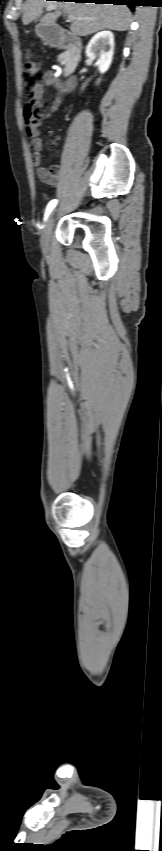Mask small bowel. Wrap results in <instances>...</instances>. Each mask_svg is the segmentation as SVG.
Listing matches in <instances>:
<instances>
[{
	"label": "small bowel",
	"mask_w": 162,
	"mask_h": 851,
	"mask_svg": "<svg viewBox=\"0 0 162 851\" xmlns=\"http://www.w3.org/2000/svg\"><path fill=\"white\" fill-rule=\"evenodd\" d=\"M76 77V74L72 72L62 83V79L59 76L53 72H47L45 75V84L40 83L32 92L33 109L27 108L25 110V129L28 137L31 139V148L33 149L31 162L36 168L38 178L49 185H55L59 182L61 167L59 165H52L50 168L42 166V141L39 137V126L49 118L51 112L57 110L60 105V99H65L67 93L74 94L77 91L78 79ZM46 85H49L52 89L56 87L58 97L53 100L49 107L44 108L43 96ZM59 141L60 137L54 136L51 138L50 144L51 146H56Z\"/></svg>",
	"instance_id": "obj_1"
}]
</instances>
